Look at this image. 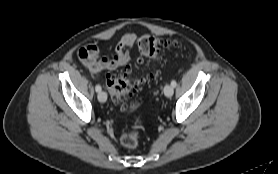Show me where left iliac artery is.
<instances>
[{
	"mask_svg": "<svg viewBox=\"0 0 278 174\" xmlns=\"http://www.w3.org/2000/svg\"><path fill=\"white\" fill-rule=\"evenodd\" d=\"M171 86L175 88L177 86V82L175 80H172Z\"/></svg>",
	"mask_w": 278,
	"mask_h": 174,
	"instance_id": "1",
	"label": "left iliac artery"
}]
</instances>
